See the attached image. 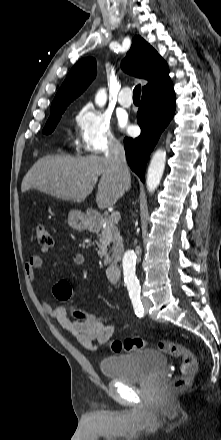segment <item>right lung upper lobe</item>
Segmentation results:
<instances>
[{
    "label": "right lung upper lobe",
    "instance_id": "obj_1",
    "mask_svg": "<svg viewBox=\"0 0 221 440\" xmlns=\"http://www.w3.org/2000/svg\"><path fill=\"white\" fill-rule=\"evenodd\" d=\"M122 69L149 83L142 88L143 93L156 90L168 82V67L163 58L141 36L132 40L131 49L122 61ZM96 76V61L92 57L79 60L70 70L58 90L51 109L68 106L83 93Z\"/></svg>",
    "mask_w": 221,
    "mask_h": 440
}]
</instances>
